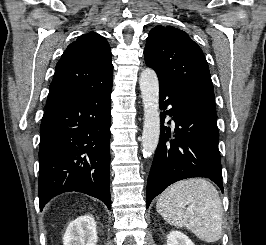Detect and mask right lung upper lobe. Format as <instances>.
I'll list each match as a JSON object with an SVG mask.
<instances>
[{"instance_id":"right-lung-upper-lobe-1","label":"right lung upper lobe","mask_w":266,"mask_h":245,"mask_svg":"<svg viewBox=\"0 0 266 245\" xmlns=\"http://www.w3.org/2000/svg\"><path fill=\"white\" fill-rule=\"evenodd\" d=\"M113 65L107 40L90 32L71 43L57 63L46 110L85 90L98 91L112 85Z\"/></svg>"}]
</instances>
